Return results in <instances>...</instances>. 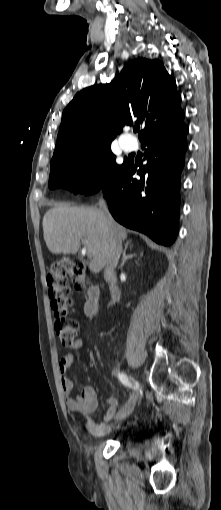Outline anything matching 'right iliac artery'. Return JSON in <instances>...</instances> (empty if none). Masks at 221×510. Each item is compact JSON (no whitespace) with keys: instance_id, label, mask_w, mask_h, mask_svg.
Listing matches in <instances>:
<instances>
[{"instance_id":"obj_1","label":"right iliac artery","mask_w":221,"mask_h":510,"mask_svg":"<svg viewBox=\"0 0 221 510\" xmlns=\"http://www.w3.org/2000/svg\"><path fill=\"white\" fill-rule=\"evenodd\" d=\"M118 378L119 380L127 387H130V388H134V389H139V384L138 382L134 381L133 383L130 381V379L127 377L126 374L124 373H118Z\"/></svg>"}]
</instances>
